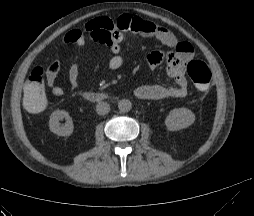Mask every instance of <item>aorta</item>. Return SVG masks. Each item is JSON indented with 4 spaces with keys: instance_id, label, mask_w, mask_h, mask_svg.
Listing matches in <instances>:
<instances>
[{
    "instance_id": "762f6f07",
    "label": "aorta",
    "mask_w": 254,
    "mask_h": 216,
    "mask_svg": "<svg viewBox=\"0 0 254 216\" xmlns=\"http://www.w3.org/2000/svg\"><path fill=\"white\" fill-rule=\"evenodd\" d=\"M118 108L120 112H129L132 109V103L128 99H122L118 103Z\"/></svg>"
}]
</instances>
